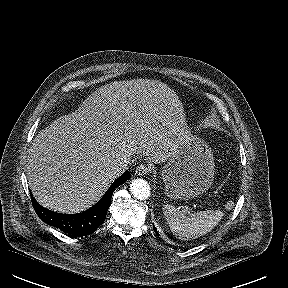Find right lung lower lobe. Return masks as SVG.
Here are the masks:
<instances>
[{
    "instance_id": "right-lung-lower-lobe-1",
    "label": "right lung lower lobe",
    "mask_w": 288,
    "mask_h": 288,
    "mask_svg": "<svg viewBox=\"0 0 288 288\" xmlns=\"http://www.w3.org/2000/svg\"><path fill=\"white\" fill-rule=\"evenodd\" d=\"M130 178V172L125 171L112 183L107 192L93 207L82 213L65 215L52 212L39 205L34 198H32V204L39 218L47 224L55 226L72 236H86L95 232L103 224L111 205L113 192Z\"/></svg>"
}]
</instances>
